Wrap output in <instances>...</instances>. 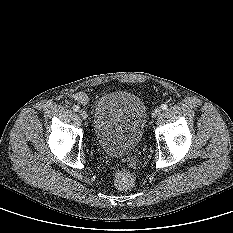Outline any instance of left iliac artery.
Segmentation results:
<instances>
[{
	"label": "left iliac artery",
	"mask_w": 233,
	"mask_h": 233,
	"mask_svg": "<svg viewBox=\"0 0 233 233\" xmlns=\"http://www.w3.org/2000/svg\"><path fill=\"white\" fill-rule=\"evenodd\" d=\"M160 108H161L162 110H166V109L168 108V106H167V104H162V105L160 106Z\"/></svg>",
	"instance_id": "left-iliac-artery-1"
}]
</instances>
